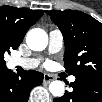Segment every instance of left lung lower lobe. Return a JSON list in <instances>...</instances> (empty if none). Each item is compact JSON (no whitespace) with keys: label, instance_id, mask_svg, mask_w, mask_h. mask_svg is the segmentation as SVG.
Listing matches in <instances>:
<instances>
[{"label":"left lung lower lobe","instance_id":"1","mask_svg":"<svg viewBox=\"0 0 102 102\" xmlns=\"http://www.w3.org/2000/svg\"><path fill=\"white\" fill-rule=\"evenodd\" d=\"M73 88L71 92L66 91L60 98H55L54 102H101L102 101V81L76 78L70 83Z\"/></svg>","mask_w":102,"mask_h":102}]
</instances>
